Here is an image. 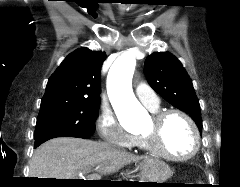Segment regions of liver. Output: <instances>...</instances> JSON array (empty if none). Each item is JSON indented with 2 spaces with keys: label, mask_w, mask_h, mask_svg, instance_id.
Instances as JSON below:
<instances>
[{
  "label": "liver",
  "mask_w": 240,
  "mask_h": 187,
  "mask_svg": "<svg viewBox=\"0 0 240 187\" xmlns=\"http://www.w3.org/2000/svg\"><path fill=\"white\" fill-rule=\"evenodd\" d=\"M148 160L103 142L80 138H54L37 148L30 162V178L77 179L92 168L110 174L131 162Z\"/></svg>",
  "instance_id": "obj_1"
}]
</instances>
